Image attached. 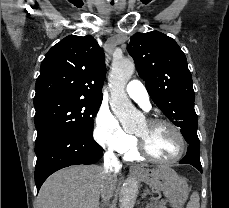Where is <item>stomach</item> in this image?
Here are the masks:
<instances>
[{"mask_svg":"<svg viewBox=\"0 0 229 208\" xmlns=\"http://www.w3.org/2000/svg\"><path fill=\"white\" fill-rule=\"evenodd\" d=\"M137 178L152 190L164 192L171 208H182L189 196L190 190L186 180L179 178L174 170H169L166 166L159 170H140Z\"/></svg>","mask_w":229,"mask_h":208,"instance_id":"1","label":"stomach"}]
</instances>
